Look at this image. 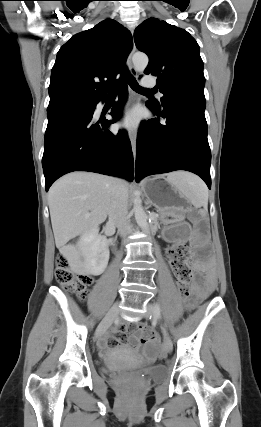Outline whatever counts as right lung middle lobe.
Returning a JSON list of instances; mask_svg holds the SVG:
<instances>
[{
    "mask_svg": "<svg viewBox=\"0 0 261 427\" xmlns=\"http://www.w3.org/2000/svg\"><path fill=\"white\" fill-rule=\"evenodd\" d=\"M96 105L84 106V105H71L60 108L47 110V117L69 114V113H91L95 109Z\"/></svg>",
    "mask_w": 261,
    "mask_h": 427,
    "instance_id": "obj_1",
    "label": "right lung middle lobe"
}]
</instances>
